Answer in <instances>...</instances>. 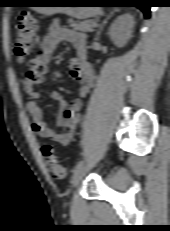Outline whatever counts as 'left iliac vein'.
I'll return each mask as SVG.
<instances>
[{"instance_id":"left-iliac-vein-1","label":"left iliac vein","mask_w":170,"mask_h":231,"mask_svg":"<svg viewBox=\"0 0 170 231\" xmlns=\"http://www.w3.org/2000/svg\"><path fill=\"white\" fill-rule=\"evenodd\" d=\"M89 167L86 165H83L82 167L78 168L72 178H71V185L72 187H77L81 181L83 180L84 176L86 175V173L88 172Z\"/></svg>"}]
</instances>
